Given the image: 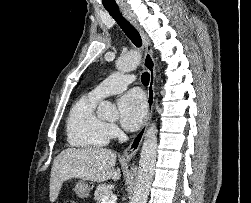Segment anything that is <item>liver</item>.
<instances>
[{
  "label": "liver",
  "mask_w": 251,
  "mask_h": 203,
  "mask_svg": "<svg viewBox=\"0 0 251 203\" xmlns=\"http://www.w3.org/2000/svg\"><path fill=\"white\" fill-rule=\"evenodd\" d=\"M116 153L106 148H68L54 159L50 178V201L59 195L63 182L80 178L92 182L117 181L120 169H114Z\"/></svg>",
  "instance_id": "obj_1"
}]
</instances>
